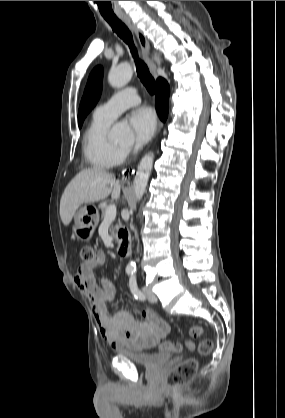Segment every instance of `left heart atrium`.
<instances>
[{"label": "left heart atrium", "mask_w": 285, "mask_h": 418, "mask_svg": "<svg viewBox=\"0 0 285 418\" xmlns=\"http://www.w3.org/2000/svg\"><path fill=\"white\" fill-rule=\"evenodd\" d=\"M128 123L134 131L136 141L138 143H145L155 132L157 118L151 108L139 107L129 114Z\"/></svg>", "instance_id": "obj_1"}]
</instances>
